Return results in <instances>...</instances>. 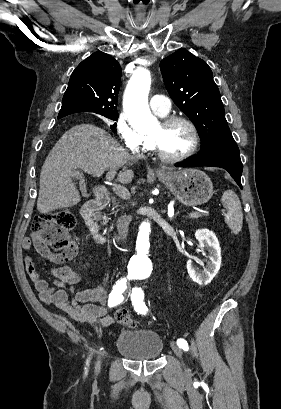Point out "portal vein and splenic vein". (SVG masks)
I'll return each mask as SVG.
<instances>
[{"label":"portal vein and splenic vein","instance_id":"obj_1","mask_svg":"<svg viewBox=\"0 0 281 409\" xmlns=\"http://www.w3.org/2000/svg\"><path fill=\"white\" fill-rule=\"evenodd\" d=\"M114 176H115V170H109V172H107V174H106V180H109V182H110V180H113ZM114 185H115L114 186L115 194L117 196H122V197L124 196L123 197V202L124 203H129L130 202V197L127 196L129 194V191L127 190V186L125 184H122L121 186H118L119 184L117 182ZM201 213H202V210L198 209L197 212H186L185 216L190 217L191 220H197V219H199L198 214H201ZM220 213L224 214L225 210L221 209Z\"/></svg>","mask_w":281,"mask_h":409}]
</instances>
